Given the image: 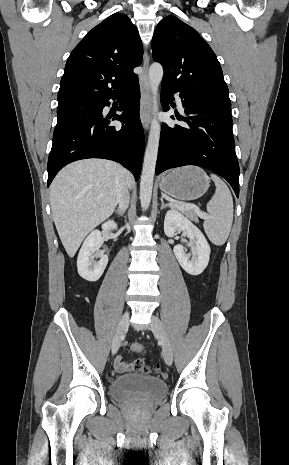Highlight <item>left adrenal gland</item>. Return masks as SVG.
<instances>
[{
    "mask_svg": "<svg viewBox=\"0 0 289 465\" xmlns=\"http://www.w3.org/2000/svg\"><path fill=\"white\" fill-rule=\"evenodd\" d=\"M160 201H161V207H160V209L162 210V209L166 208L167 205H165L163 198H161Z\"/></svg>",
    "mask_w": 289,
    "mask_h": 465,
    "instance_id": "obj_1",
    "label": "left adrenal gland"
}]
</instances>
